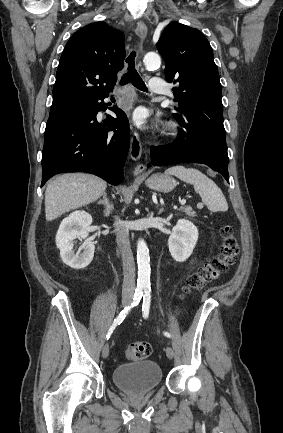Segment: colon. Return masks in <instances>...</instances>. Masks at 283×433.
Here are the masks:
<instances>
[{
  "mask_svg": "<svg viewBox=\"0 0 283 433\" xmlns=\"http://www.w3.org/2000/svg\"><path fill=\"white\" fill-rule=\"evenodd\" d=\"M221 246L219 253L191 274L182 289V295H189L200 290L207 283L217 279L228 271L239 253V244L231 226H223L220 230ZM151 345L144 341H136L126 348L128 359L137 361L146 359L151 354Z\"/></svg>",
  "mask_w": 283,
  "mask_h": 433,
  "instance_id": "1",
  "label": "colon"
}]
</instances>
